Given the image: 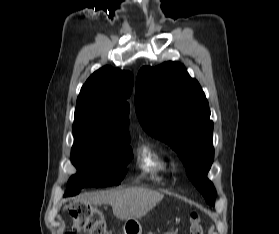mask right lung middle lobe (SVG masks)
<instances>
[{
    "label": "right lung middle lobe",
    "instance_id": "1",
    "mask_svg": "<svg viewBox=\"0 0 279 234\" xmlns=\"http://www.w3.org/2000/svg\"><path fill=\"white\" fill-rule=\"evenodd\" d=\"M71 161L77 174L68 181L64 196H73L83 187L118 185L126 174L132 150L130 138H98L81 125H73Z\"/></svg>",
    "mask_w": 279,
    "mask_h": 234
}]
</instances>
